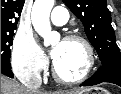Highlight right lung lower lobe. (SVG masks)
<instances>
[{"label":"right lung lower lobe","mask_w":121,"mask_h":94,"mask_svg":"<svg viewBox=\"0 0 121 94\" xmlns=\"http://www.w3.org/2000/svg\"><path fill=\"white\" fill-rule=\"evenodd\" d=\"M1 73L10 78H13L10 62H1Z\"/></svg>","instance_id":"1"}]
</instances>
